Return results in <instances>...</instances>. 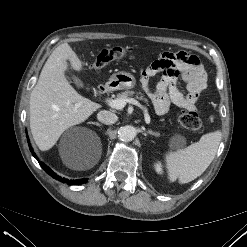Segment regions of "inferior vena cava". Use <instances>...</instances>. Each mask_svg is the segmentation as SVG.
<instances>
[{"label": "inferior vena cava", "mask_w": 247, "mask_h": 247, "mask_svg": "<svg viewBox=\"0 0 247 247\" xmlns=\"http://www.w3.org/2000/svg\"><path fill=\"white\" fill-rule=\"evenodd\" d=\"M97 119L103 124L110 125L114 124L118 120V117L110 111L102 110L98 112Z\"/></svg>", "instance_id": "602c4592"}]
</instances>
